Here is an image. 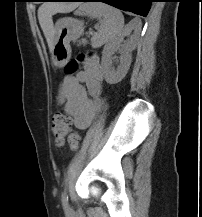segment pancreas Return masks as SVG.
<instances>
[{
    "instance_id": "cf45deb5",
    "label": "pancreas",
    "mask_w": 202,
    "mask_h": 217,
    "mask_svg": "<svg viewBox=\"0 0 202 217\" xmlns=\"http://www.w3.org/2000/svg\"><path fill=\"white\" fill-rule=\"evenodd\" d=\"M83 43H86V41H85V40H83Z\"/></svg>"
}]
</instances>
